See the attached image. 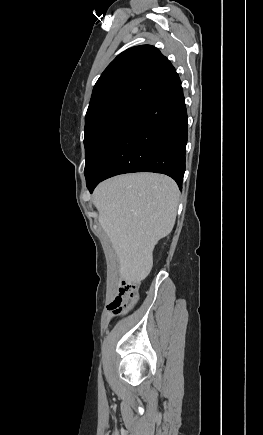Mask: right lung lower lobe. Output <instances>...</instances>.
<instances>
[{
    "mask_svg": "<svg viewBox=\"0 0 263 435\" xmlns=\"http://www.w3.org/2000/svg\"><path fill=\"white\" fill-rule=\"evenodd\" d=\"M187 111L179 76L148 99L131 119L96 173L90 192L115 175L156 172L182 187L187 143Z\"/></svg>",
    "mask_w": 263,
    "mask_h": 435,
    "instance_id": "right-lung-lower-lobe-1",
    "label": "right lung lower lobe"
}]
</instances>
